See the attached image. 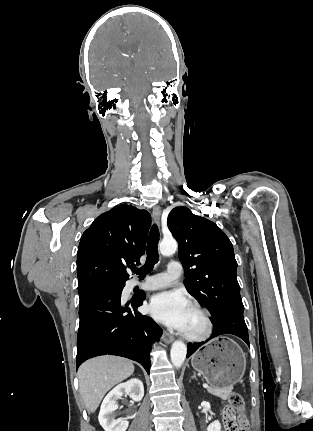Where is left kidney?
Here are the masks:
<instances>
[{"instance_id":"left-kidney-1","label":"left kidney","mask_w":313,"mask_h":431,"mask_svg":"<svg viewBox=\"0 0 313 431\" xmlns=\"http://www.w3.org/2000/svg\"><path fill=\"white\" fill-rule=\"evenodd\" d=\"M207 431H221V424L218 420L212 422L208 427Z\"/></svg>"}]
</instances>
